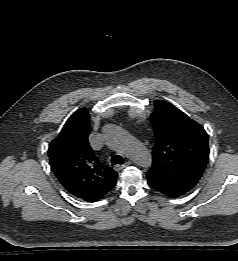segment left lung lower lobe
Segmentation results:
<instances>
[{
	"label": "left lung lower lobe",
	"instance_id": "1",
	"mask_svg": "<svg viewBox=\"0 0 238 261\" xmlns=\"http://www.w3.org/2000/svg\"><path fill=\"white\" fill-rule=\"evenodd\" d=\"M148 184L153 189H155L156 191H158V192H160V193H162L166 196H169V197H172V198L180 196V195L174 193L173 191H171L170 189H168V188H166V187H164V186H162V185H160L156 182L151 181L150 179H148Z\"/></svg>",
	"mask_w": 238,
	"mask_h": 261
}]
</instances>
